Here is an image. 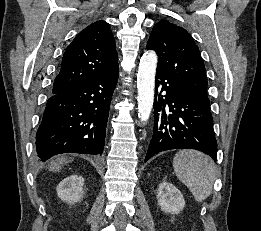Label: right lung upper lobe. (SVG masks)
Returning <instances> with one entry per match:
<instances>
[{"mask_svg": "<svg viewBox=\"0 0 261 231\" xmlns=\"http://www.w3.org/2000/svg\"><path fill=\"white\" fill-rule=\"evenodd\" d=\"M118 66L110 25L97 21L82 30L66 48L52 93L81 86Z\"/></svg>", "mask_w": 261, "mask_h": 231, "instance_id": "cb5924a9", "label": "right lung upper lobe"}]
</instances>
